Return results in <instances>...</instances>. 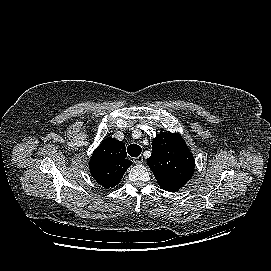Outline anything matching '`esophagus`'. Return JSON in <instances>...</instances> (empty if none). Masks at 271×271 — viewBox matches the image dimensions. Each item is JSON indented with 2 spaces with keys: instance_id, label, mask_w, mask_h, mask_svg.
I'll use <instances>...</instances> for the list:
<instances>
[{
  "instance_id": "34e87169",
  "label": "esophagus",
  "mask_w": 271,
  "mask_h": 271,
  "mask_svg": "<svg viewBox=\"0 0 271 271\" xmlns=\"http://www.w3.org/2000/svg\"><path fill=\"white\" fill-rule=\"evenodd\" d=\"M134 163L136 164H142L143 163V157L140 155L133 159Z\"/></svg>"
}]
</instances>
